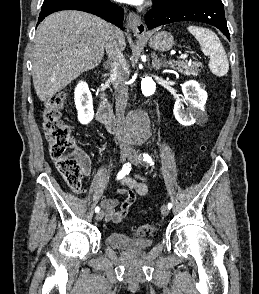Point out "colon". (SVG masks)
Returning <instances> with one entry per match:
<instances>
[{
    "instance_id": "5ec220e1",
    "label": "colon",
    "mask_w": 259,
    "mask_h": 294,
    "mask_svg": "<svg viewBox=\"0 0 259 294\" xmlns=\"http://www.w3.org/2000/svg\"><path fill=\"white\" fill-rule=\"evenodd\" d=\"M66 102L64 93L48 99L42 109V124L49 145V152L56 168L67 185L79 190L82 182V171L75 143L69 126L62 119V110ZM154 223H143L136 227L134 234L149 237L156 233Z\"/></svg>"
}]
</instances>
